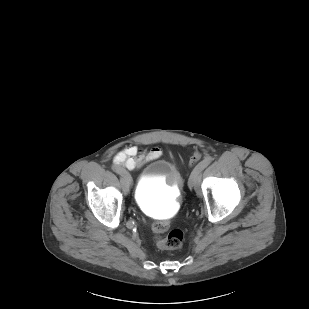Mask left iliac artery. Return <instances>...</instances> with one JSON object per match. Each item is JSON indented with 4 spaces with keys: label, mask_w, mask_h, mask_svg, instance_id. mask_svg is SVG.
Listing matches in <instances>:
<instances>
[{
    "label": "left iliac artery",
    "mask_w": 309,
    "mask_h": 309,
    "mask_svg": "<svg viewBox=\"0 0 309 309\" xmlns=\"http://www.w3.org/2000/svg\"><path fill=\"white\" fill-rule=\"evenodd\" d=\"M212 161L211 157H206L203 161H201L198 166L193 170V172L191 173L190 179L194 180L197 174H201V171L204 170ZM199 178V184L201 182V176L198 177ZM189 179V180H190Z\"/></svg>",
    "instance_id": "left-iliac-artery-1"
}]
</instances>
